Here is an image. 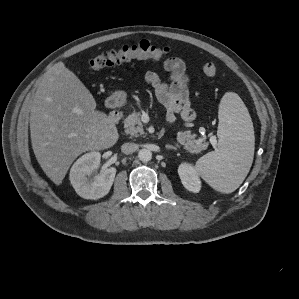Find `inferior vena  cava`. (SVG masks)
I'll use <instances>...</instances> for the list:
<instances>
[{
    "mask_svg": "<svg viewBox=\"0 0 299 299\" xmlns=\"http://www.w3.org/2000/svg\"><path fill=\"white\" fill-rule=\"evenodd\" d=\"M138 149V145L132 142L124 143L121 146V151L124 154H132Z\"/></svg>",
    "mask_w": 299,
    "mask_h": 299,
    "instance_id": "obj_1",
    "label": "inferior vena cava"
}]
</instances>
